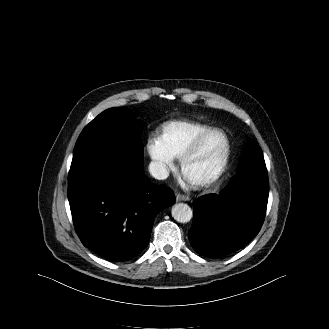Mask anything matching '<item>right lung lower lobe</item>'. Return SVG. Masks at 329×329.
I'll use <instances>...</instances> for the list:
<instances>
[{
	"label": "right lung lower lobe",
	"instance_id": "1",
	"mask_svg": "<svg viewBox=\"0 0 329 329\" xmlns=\"http://www.w3.org/2000/svg\"><path fill=\"white\" fill-rule=\"evenodd\" d=\"M68 200L83 245L117 262L148 245L156 215L175 197L169 188L151 183L142 168L99 160L69 174Z\"/></svg>",
	"mask_w": 329,
	"mask_h": 329
}]
</instances>
